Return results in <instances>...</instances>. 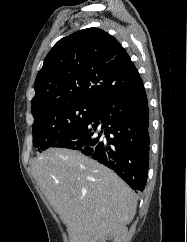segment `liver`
<instances>
[{
    "label": "liver",
    "mask_w": 187,
    "mask_h": 242,
    "mask_svg": "<svg viewBox=\"0 0 187 242\" xmlns=\"http://www.w3.org/2000/svg\"><path fill=\"white\" fill-rule=\"evenodd\" d=\"M32 174L66 224L69 242H92L133 220L137 198L113 171L78 151L51 148Z\"/></svg>",
    "instance_id": "liver-1"
}]
</instances>
